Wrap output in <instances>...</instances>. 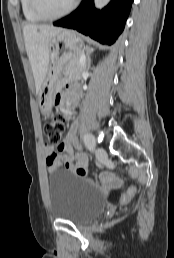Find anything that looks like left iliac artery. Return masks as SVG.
I'll return each instance as SVG.
<instances>
[{
  "mask_svg": "<svg viewBox=\"0 0 174 258\" xmlns=\"http://www.w3.org/2000/svg\"><path fill=\"white\" fill-rule=\"evenodd\" d=\"M84 143L86 147L90 150L93 151L95 148V139L94 136L90 133H87L84 135Z\"/></svg>",
  "mask_w": 174,
  "mask_h": 258,
  "instance_id": "left-iliac-artery-1",
  "label": "left iliac artery"
}]
</instances>
